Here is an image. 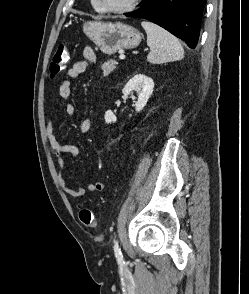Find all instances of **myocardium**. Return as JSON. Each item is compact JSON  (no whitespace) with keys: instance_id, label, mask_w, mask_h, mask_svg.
I'll list each match as a JSON object with an SVG mask.
<instances>
[{"instance_id":"obj_1","label":"myocardium","mask_w":249,"mask_h":294,"mask_svg":"<svg viewBox=\"0 0 249 294\" xmlns=\"http://www.w3.org/2000/svg\"><path fill=\"white\" fill-rule=\"evenodd\" d=\"M93 2L103 13L123 14L136 8L141 2V0H129L125 5L118 8L103 6L100 3V0H93Z\"/></svg>"}]
</instances>
